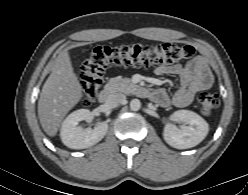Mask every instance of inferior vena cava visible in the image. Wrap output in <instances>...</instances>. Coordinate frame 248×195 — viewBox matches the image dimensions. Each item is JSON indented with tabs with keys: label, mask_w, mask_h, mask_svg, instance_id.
I'll return each instance as SVG.
<instances>
[{
	"label": "inferior vena cava",
	"mask_w": 248,
	"mask_h": 195,
	"mask_svg": "<svg viewBox=\"0 0 248 195\" xmlns=\"http://www.w3.org/2000/svg\"><path fill=\"white\" fill-rule=\"evenodd\" d=\"M126 100V96L122 93H114L111 94L108 99L106 100V104L110 107V108H116L119 105H121L122 103H124Z\"/></svg>",
	"instance_id": "inferior-vena-cava-1"
}]
</instances>
